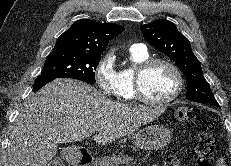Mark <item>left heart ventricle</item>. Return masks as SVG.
<instances>
[{"label":"left heart ventricle","mask_w":231,"mask_h":166,"mask_svg":"<svg viewBox=\"0 0 231 166\" xmlns=\"http://www.w3.org/2000/svg\"><path fill=\"white\" fill-rule=\"evenodd\" d=\"M175 88L176 78L174 73L164 64L154 65L144 76L143 89L150 98L165 99L173 93Z\"/></svg>","instance_id":"1"}]
</instances>
